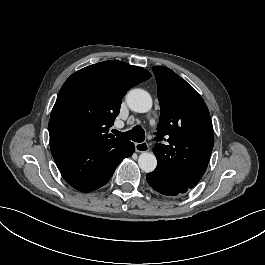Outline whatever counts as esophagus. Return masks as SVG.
I'll return each instance as SVG.
<instances>
[{"instance_id": "esophagus-1", "label": "esophagus", "mask_w": 265, "mask_h": 265, "mask_svg": "<svg viewBox=\"0 0 265 265\" xmlns=\"http://www.w3.org/2000/svg\"><path fill=\"white\" fill-rule=\"evenodd\" d=\"M135 150L137 152H146L149 150V145L147 142L135 143Z\"/></svg>"}]
</instances>
